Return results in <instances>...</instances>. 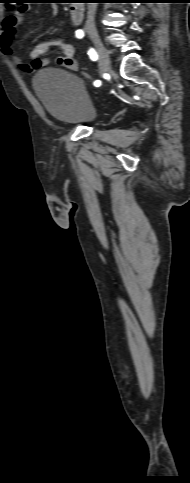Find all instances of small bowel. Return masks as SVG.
Listing matches in <instances>:
<instances>
[{
	"mask_svg": "<svg viewBox=\"0 0 190 483\" xmlns=\"http://www.w3.org/2000/svg\"><path fill=\"white\" fill-rule=\"evenodd\" d=\"M29 10L27 5H20L14 12L6 15L3 18L0 27V48L1 51L11 59V61L21 70L32 73L41 67L47 66L50 63L71 70L76 71L78 64L74 58L75 46L66 42L62 38H52L36 44L29 53L30 62H25L19 58L13 50V35L19 25L22 24L24 15ZM57 14V10H53V15ZM54 49H58L62 56L55 58H42Z\"/></svg>",
	"mask_w": 190,
	"mask_h": 483,
	"instance_id": "obj_1",
	"label": "small bowel"
}]
</instances>
